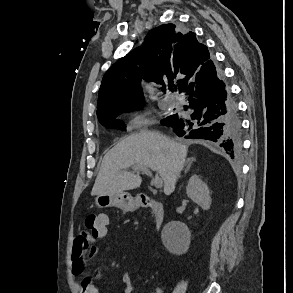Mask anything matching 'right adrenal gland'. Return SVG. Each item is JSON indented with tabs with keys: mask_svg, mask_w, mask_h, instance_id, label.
I'll return each instance as SVG.
<instances>
[{
	"mask_svg": "<svg viewBox=\"0 0 293 293\" xmlns=\"http://www.w3.org/2000/svg\"><path fill=\"white\" fill-rule=\"evenodd\" d=\"M194 161H195L194 158H191V159H188V160H187V164H186V168H185V170H184V174H186V173L189 171V169H190V167H191V164H192Z\"/></svg>",
	"mask_w": 293,
	"mask_h": 293,
	"instance_id": "right-adrenal-gland-1",
	"label": "right adrenal gland"
}]
</instances>
